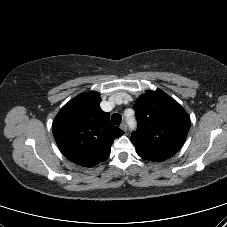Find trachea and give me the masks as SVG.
I'll return each instance as SVG.
<instances>
[{
  "instance_id": "obj_1",
  "label": "trachea",
  "mask_w": 227,
  "mask_h": 227,
  "mask_svg": "<svg viewBox=\"0 0 227 227\" xmlns=\"http://www.w3.org/2000/svg\"><path fill=\"white\" fill-rule=\"evenodd\" d=\"M111 121L114 125H118L120 124V122L122 121V116L118 113H114L112 116H111Z\"/></svg>"
}]
</instances>
